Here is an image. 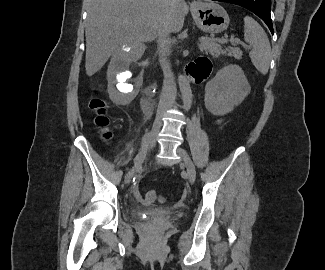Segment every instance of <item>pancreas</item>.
Masks as SVG:
<instances>
[{
  "label": "pancreas",
  "mask_w": 325,
  "mask_h": 270,
  "mask_svg": "<svg viewBox=\"0 0 325 270\" xmlns=\"http://www.w3.org/2000/svg\"><path fill=\"white\" fill-rule=\"evenodd\" d=\"M206 45H200L201 50H205L213 56H219L220 54H227L228 56L234 57L235 59H242V51L239 48L230 47L229 49L223 50L221 46L217 43L216 39H203ZM202 43L203 41L200 40Z\"/></svg>",
  "instance_id": "obj_1"
}]
</instances>
